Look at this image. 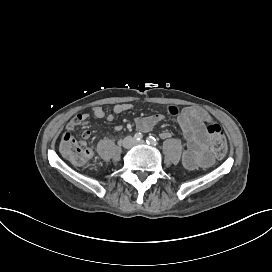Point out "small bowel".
<instances>
[{"instance_id":"obj_1","label":"small bowel","mask_w":272,"mask_h":272,"mask_svg":"<svg viewBox=\"0 0 272 272\" xmlns=\"http://www.w3.org/2000/svg\"><path fill=\"white\" fill-rule=\"evenodd\" d=\"M132 105L129 103L116 104L112 108V113L106 114L101 106H95L92 114L95 118L106 119L112 122L115 115H119L129 111ZM170 114L178 116V124L183 132L186 147L183 152L182 162L184 166L190 170L196 169L201 163L204 162L205 153L207 151L208 139L206 138L204 126L205 124L213 123L212 117L205 110L197 107H185L181 111L177 108L171 107ZM162 120V115L152 114L148 116L139 117L136 119V126L142 132L150 131L158 122ZM89 123V114L79 113L72 120H70L66 128L75 129L79 125ZM121 126H116L115 131L119 132ZM162 138H169L170 133L167 131L162 132ZM91 136V131L86 129L82 132L83 139L87 140Z\"/></svg>"}]
</instances>
